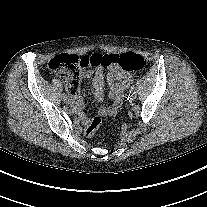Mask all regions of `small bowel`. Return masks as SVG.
Returning a JSON list of instances; mask_svg holds the SVG:
<instances>
[{"label": "small bowel", "instance_id": "c3829d8e", "mask_svg": "<svg viewBox=\"0 0 207 207\" xmlns=\"http://www.w3.org/2000/svg\"><path fill=\"white\" fill-rule=\"evenodd\" d=\"M83 78L92 79L93 95L96 100L102 101L104 98V70L102 67H97L94 70H85L82 73ZM106 78L109 84V97L112 99V104L102 106L98 110L99 117L114 116L121 108L124 93L127 87L132 83L133 76L117 66L108 68ZM70 104L76 112L81 123L86 127L92 119L82 113L83 101L79 94V89L76 88L70 92Z\"/></svg>", "mask_w": 207, "mask_h": 207}]
</instances>
